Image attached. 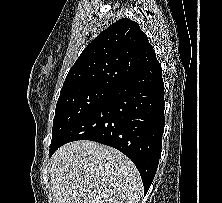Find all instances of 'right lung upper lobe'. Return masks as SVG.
Instances as JSON below:
<instances>
[{
  "mask_svg": "<svg viewBox=\"0 0 222 203\" xmlns=\"http://www.w3.org/2000/svg\"><path fill=\"white\" fill-rule=\"evenodd\" d=\"M156 60L155 51L139 24L122 18L83 50L62 89L86 86L113 89L126 77Z\"/></svg>",
  "mask_w": 222,
  "mask_h": 203,
  "instance_id": "obj_1",
  "label": "right lung upper lobe"
}]
</instances>
